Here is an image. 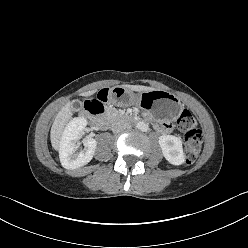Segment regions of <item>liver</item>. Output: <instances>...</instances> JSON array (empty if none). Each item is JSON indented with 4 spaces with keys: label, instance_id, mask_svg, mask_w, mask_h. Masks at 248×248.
Wrapping results in <instances>:
<instances>
[{
    "label": "liver",
    "instance_id": "liver-1",
    "mask_svg": "<svg viewBox=\"0 0 248 248\" xmlns=\"http://www.w3.org/2000/svg\"><path fill=\"white\" fill-rule=\"evenodd\" d=\"M124 87L130 89L131 91L136 92H149L155 90L154 88L147 87V86H141V85H124ZM94 93V91H88L85 92L84 96H90ZM71 105L72 102H68L62 109L58 112L53 125L51 127L50 132V140L52 147L55 150H59L60 148V141L63 134V131L65 129V125L72 117V111H71Z\"/></svg>",
    "mask_w": 248,
    "mask_h": 248
}]
</instances>
